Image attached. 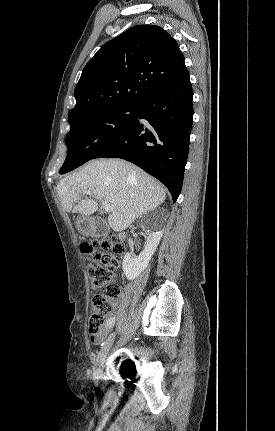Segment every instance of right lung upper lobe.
I'll return each instance as SVG.
<instances>
[{
  "mask_svg": "<svg viewBox=\"0 0 275 431\" xmlns=\"http://www.w3.org/2000/svg\"><path fill=\"white\" fill-rule=\"evenodd\" d=\"M187 70L164 29L137 25L104 44L84 67L75 87L69 123L97 110L137 106L173 84Z\"/></svg>",
  "mask_w": 275,
  "mask_h": 431,
  "instance_id": "obj_1",
  "label": "right lung upper lobe"
}]
</instances>
